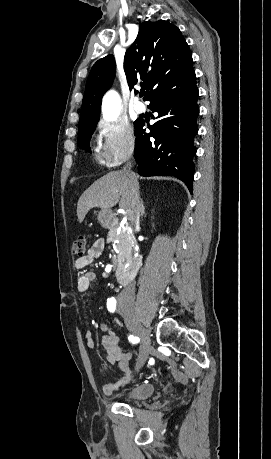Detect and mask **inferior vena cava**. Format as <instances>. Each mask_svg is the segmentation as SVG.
<instances>
[{"label": "inferior vena cava", "instance_id": "602c4592", "mask_svg": "<svg viewBox=\"0 0 271 459\" xmlns=\"http://www.w3.org/2000/svg\"><path fill=\"white\" fill-rule=\"evenodd\" d=\"M123 172L125 174H130V178H132L131 174V164L129 162L127 168H124ZM135 184L133 186V200H132V210L129 212V220L130 222H133V224H139L142 208H141V202L139 198V192H138V182L136 176H134ZM121 297L123 299H130V301H134L135 299V287L134 283H129V285H125L124 289H122L120 293Z\"/></svg>", "mask_w": 271, "mask_h": 459}]
</instances>
